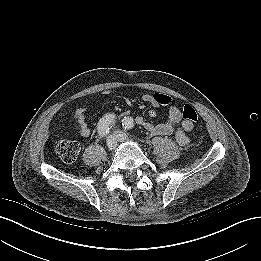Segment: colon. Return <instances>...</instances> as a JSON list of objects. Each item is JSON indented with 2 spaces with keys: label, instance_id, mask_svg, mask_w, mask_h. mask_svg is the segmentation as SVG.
Listing matches in <instances>:
<instances>
[{
  "label": "colon",
  "instance_id": "colon-1",
  "mask_svg": "<svg viewBox=\"0 0 261 261\" xmlns=\"http://www.w3.org/2000/svg\"><path fill=\"white\" fill-rule=\"evenodd\" d=\"M156 99L164 105L171 102V98L164 94L156 93ZM183 117L191 123H197L199 121V115L196 109L190 104L184 105ZM79 152L80 145L73 141L61 140L56 145L57 155L63 162L68 164L73 163L77 159Z\"/></svg>",
  "mask_w": 261,
  "mask_h": 261
}]
</instances>
